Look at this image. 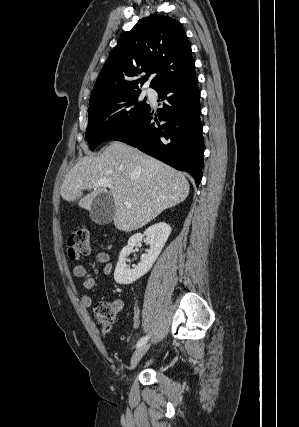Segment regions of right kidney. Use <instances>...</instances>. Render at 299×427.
Returning a JSON list of instances; mask_svg holds the SVG:
<instances>
[{
	"instance_id": "right-kidney-1",
	"label": "right kidney",
	"mask_w": 299,
	"mask_h": 427,
	"mask_svg": "<svg viewBox=\"0 0 299 427\" xmlns=\"http://www.w3.org/2000/svg\"><path fill=\"white\" fill-rule=\"evenodd\" d=\"M171 227L165 222L156 223L148 227L143 234H134L128 240L120 252L119 259L114 272V279L118 284L128 285L145 275L152 267L161 253L169 235ZM146 237V242L150 245L147 254L141 256V261L133 269L126 265L127 257L133 252L134 246L139 244Z\"/></svg>"
}]
</instances>
